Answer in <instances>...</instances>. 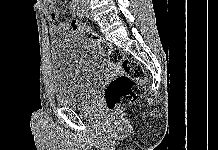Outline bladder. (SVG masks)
Wrapping results in <instances>:
<instances>
[{"instance_id": "bladder-1", "label": "bladder", "mask_w": 218, "mask_h": 150, "mask_svg": "<svg viewBox=\"0 0 218 150\" xmlns=\"http://www.w3.org/2000/svg\"><path fill=\"white\" fill-rule=\"evenodd\" d=\"M52 55L57 67L54 98L61 107L87 106L102 81L115 69L99 49L68 31L55 34Z\"/></svg>"}]
</instances>
